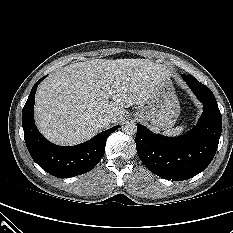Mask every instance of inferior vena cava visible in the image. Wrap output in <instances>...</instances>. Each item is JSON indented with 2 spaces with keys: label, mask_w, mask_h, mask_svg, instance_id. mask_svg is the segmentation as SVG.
I'll return each mask as SVG.
<instances>
[{
  "label": "inferior vena cava",
  "mask_w": 233,
  "mask_h": 233,
  "mask_svg": "<svg viewBox=\"0 0 233 233\" xmlns=\"http://www.w3.org/2000/svg\"><path fill=\"white\" fill-rule=\"evenodd\" d=\"M99 127L104 128L113 122V118L110 115H102L96 119Z\"/></svg>",
  "instance_id": "602c4592"
}]
</instances>
